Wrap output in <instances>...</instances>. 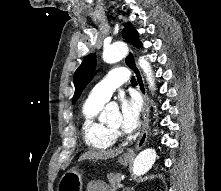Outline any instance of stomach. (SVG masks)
<instances>
[{
  "label": "stomach",
  "instance_id": "1",
  "mask_svg": "<svg viewBox=\"0 0 221 191\" xmlns=\"http://www.w3.org/2000/svg\"><path fill=\"white\" fill-rule=\"evenodd\" d=\"M132 160L133 159L127 156L126 154L118 158V162L124 166L131 163ZM82 186H83L82 171L77 167H74L69 169L61 177L58 183L57 191H82Z\"/></svg>",
  "mask_w": 221,
  "mask_h": 191
}]
</instances>
